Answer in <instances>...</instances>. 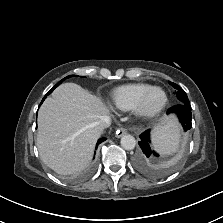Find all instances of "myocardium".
<instances>
[{"instance_id": "myocardium-1", "label": "myocardium", "mask_w": 223, "mask_h": 223, "mask_svg": "<svg viewBox=\"0 0 223 223\" xmlns=\"http://www.w3.org/2000/svg\"><path fill=\"white\" fill-rule=\"evenodd\" d=\"M157 90L161 91L164 94V101L161 104V106L159 108H157L156 110L147 111L146 108H145L146 101H147L148 97L150 96V94L154 91H157ZM168 101H169L168 94H167V92L165 91L164 88H162L160 86H152L147 91H145L142 94V96L139 98L135 107L133 108V113L137 118L142 119V120L153 119V118H155V117H157L158 115L161 114V112L167 106Z\"/></svg>"}]
</instances>
